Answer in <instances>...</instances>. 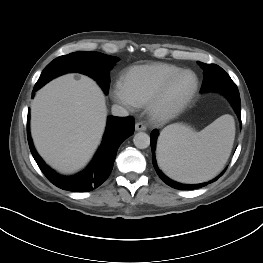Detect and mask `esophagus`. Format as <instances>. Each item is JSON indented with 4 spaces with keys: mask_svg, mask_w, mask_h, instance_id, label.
Segmentation results:
<instances>
[{
    "mask_svg": "<svg viewBox=\"0 0 263 263\" xmlns=\"http://www.w3.org/2000/svg\"><path fill=\"white\" fill-rule=\"evenodd\" d=\"M146 129H147L146 126L141 122H137L135 124V130L136 131H145Z\"/></svg>",
    "mask_w": 263,
    "mask_h": 263,
    "instance_id": "1",
    "label": "esophagus"
}]
</instances>
